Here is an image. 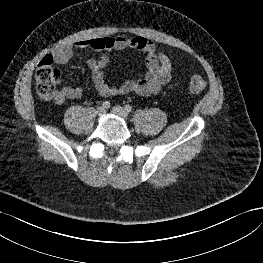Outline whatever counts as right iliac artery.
Instances as JSON below:
<instances>
[{"label": "right iliac artery", "instance_id": "82829eb1", "mask_svg": "<svg viewBox=\"0 0 263 263\" xmlns=\"http://www.w3.org/2000/svg\"><path fill=\"white\" fill-rule=\"evenodd\" d=\"M102 105H103L104 108H109L110 107V102L109 101H104Z\"/></svg>", "mask_w": 263, "mask_h": 263}]
</instances>
